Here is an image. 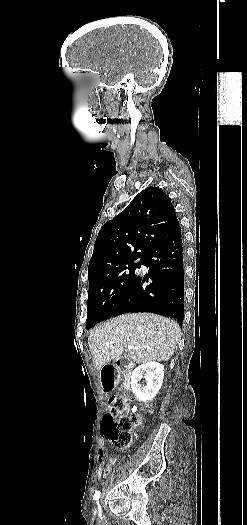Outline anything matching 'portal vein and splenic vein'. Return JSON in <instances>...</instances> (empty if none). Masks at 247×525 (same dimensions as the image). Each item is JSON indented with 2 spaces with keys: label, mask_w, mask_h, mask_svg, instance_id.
<instances>
[{
  "label": "portal vein and splenic vein",
  "mask_w": 247,
  "mask_h": 525,
  "mask_svg": "<svg viewBox=\"0 0 247 525\" xmlns=\"http://www.w3.org/2000/svg\"><path fill=\"white\" fill-rule=\"evenodd\" d=\"M108 345H111V343H108ZM127 349L131 351V349H138L137 345H127Z\"/></svg>",
  "instance_id": "1"
}]
</instances>
